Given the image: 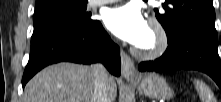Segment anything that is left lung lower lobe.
<instances>
[{"label":"left lung lower lobe","mask_w":221,"mask_h":102,"mask_svg":"<svg viewBox=\"0 0 221 102\" xmlns=\"http://www.w3.org/2000/svg\"><path fill=\"white\" fill-rule=\"evenodd\" d=\"M138 68L140 71L156 72L199 70L211 76L221 87V62L216 42L195 31H184L168 40V48L160 58L142 62Z\"/></svg>","instance_id":"1"}]
</instances>
